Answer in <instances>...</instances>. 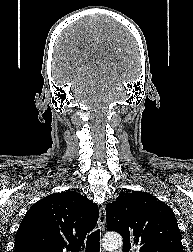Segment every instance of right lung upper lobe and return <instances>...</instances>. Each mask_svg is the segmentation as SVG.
Here are the masks:
<instances>
[{"instance_id": "cb5924a9", "label": "right lung upper lobe", "mask_w": 193, "mask_h": 252, "mask_svg": "<svg viewBox=\"0 0 193 252\" xmlns=\"http://www.w3.org/2000/svg\"><path fill=\"white\" fill-rule=\"evenodd\" d=\"M98 216V206L76 191L50 194L25 214L14 252H77Z\"/></svg>"}]
</instances>
